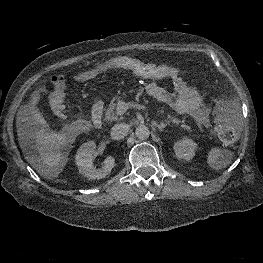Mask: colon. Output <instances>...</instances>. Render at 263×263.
<instances>
[{"instance_id":"5ec220e1","label":"colon","mask_w":263,"mask_h":263,"mask_svg":"<svg viewBox=\"0 0 263 263\" xmlns=\"http://www.w3.org/2000/svg\"><path fill=\"white\" fill-rule=\"evenodd\" d=\"M112 68L130 70L139 76L155 79L170 78L172 76H180L181 74V70L179 68L171 65L144 63L135 58L116 56L92 69L77 74L74 79L79 82L86 81ZM51 84L53 102L58 108L60 99L63 95V88L65 84L64 76L61 74L53 76L51 78ZM215 129L218 133L219 140L224 145L234 146L237 141V132L227 118L218 115L216 117Z\"/></svg>"}]
</instances>
